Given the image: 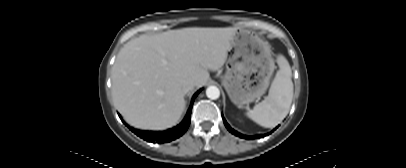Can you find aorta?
<instances>
[{"mask_svg":"<svg viewBox=\"0 0 406 168\" xmlns=\"http://www.w3.org/2000/svg\"><path fill=\"white\" fill-rule=\"evenodd\" d=\"M206 95L209 99L216 100L220 97V90L216 86H209L206 90Z\"/></svg>","mask_w":406,"mask_h":168,"instance_id":"1","label":"aorta"}]
</instances>
